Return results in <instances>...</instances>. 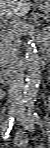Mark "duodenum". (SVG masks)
<instances>
[{
	"mask_svg": "<svg viewBox=\"0 0 50 148\" xmlns=\"http://www.w3.org/2000/svg\"><path fill=\"white\" fill-rule=\"evenodd\" d=\"M14 81V78L11 74L8 73L6 69L3 68L2 74H1V83L3 85H8Z\"/></svg>",
	"mask_w": 50,
	"mask_h": 148,
	"instance_id": "1",
	"label": "duodenum"
}]
</instances>
